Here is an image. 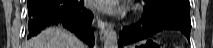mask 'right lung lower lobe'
<instances>
[{
	"label": "right lung lower lobe",
	"instance_id": "obj_1",
	"mask_svg": "<svg viewBox=\"0 0 213 48\" xmlns=\"http://www.w3.org/2000/svg\"><path fill=\"white\" fill-rule=\"evenodd\" d=\"M83 4V0H27L30 17L28 38L47 26L60 23L93 46V29L90 28L93 14Z\"/></svg>",
	"mask_w": 213,
	"mask_h": 48
}]
</instances>
